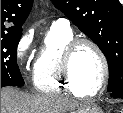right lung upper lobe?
I'll use <instances>...</instances> for the list:
<instances>
[{"instance_id":"1","label":"right lung upper lobe","mask_w":123,"mask_h":113,"mask_svg":"<svg viewBox=\"0 0 123 113\" xmlns=\"http://www.w3.org/2000/svg\"><path fill=\"white\" fill-rule=\"evenodd\" d=\"M33 0H1V36L21 34Z\"/></svg>"}]
</instances>
